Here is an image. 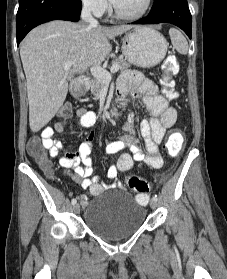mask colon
Segmentation results:
<instances>
[{
	"mask_svg": "<svg viewBox=\"0 0 227 279\" xmlns=\"http://www.w3.org/2000/svg\"><path fill=\"white\" fill-rule=\"evenodd\" d=\"M179 64L175 57L167 59L164 71L161 76V86L164 95L169 99H175L178 97V93L175 89L174 75L178 72ZM64 116L68 117L71 114V108L68 105H64L62 108ZM184 134L178 130H172L167 138L165 144V150L169 157H176L179 155L183 144ZM45 147L43 142L38 139H32L28 143L27 152L28 154L44 169L51 170V161L45 154ZM126 183L128 187L137 193V201L140 204L148 202L150 184L143 178L136 175H129L126 177ZM94 190L96 188H93Z\"/></svg>",
	"mask_w": 227,
	"mask_h": 279,
	"instance_id": "1",
	"label": "colon"
}]
</instances>
